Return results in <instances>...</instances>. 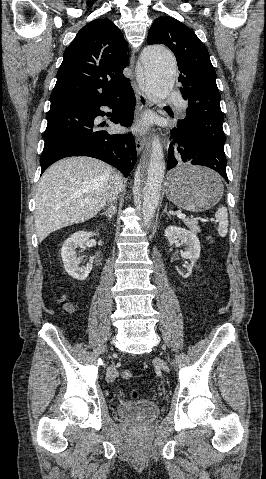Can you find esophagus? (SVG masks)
Returning <instances> with one entry per match:
<instances>
[{
  "mask_svg": "<svg viewBox=\"0 0 266 479\" xmlns=\"http://www.w3.org/2000/svg\"><path fill=\"white\" fill-rule=\"evenodd\" d=\"M133 63H134V58L132 57L131 66H133ZM131 85L134 90V93L137 99V104H138V111H137V122H138L144 110L148 107L149 103H148L146 95L139 89L134 78L131 79ZM147 144L148 143H147L146 137L141 133H137L135 136V145H136V150L138 154L141 153V151L144 149V147Z\"/></svg>",
  "mask_w": 266,
  "mask_h": 479,
  "instance_id": "34e87169",
  "label": "esophagus"
}]
</instances>
